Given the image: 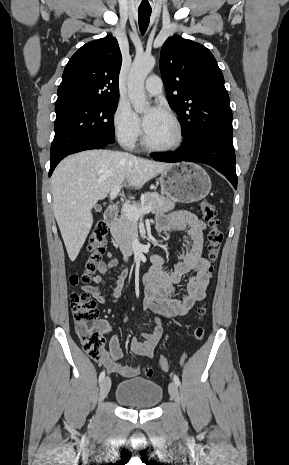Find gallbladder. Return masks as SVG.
I'll return each mask as SVG.
<instances>
[{
	"instance_id": "gallbladder-1",
	"label": "gallbladder",
	"mask_w": 289,
	"mask_h": 465,
	"mask_svg": "<svg viewBox=\"0 0 289 465\" xmlns=\"http://www.w3.org/2000/svg\"><path fill=\"white\" fill-rule=\"evenodd\" d=\"M95 210H96V211H100V210H101V207H100L99 205H96V206H95Z\"/></svg>"
}]
</instances>
